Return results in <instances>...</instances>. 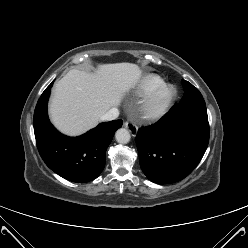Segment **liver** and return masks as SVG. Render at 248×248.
Segmentation results:
<instances>
[{"mask_svg":"<svg viewBox=\"0 0 248 248\" xmlns=\"http://www.w3.org/2000/svg\"><path fill=\"white\" fill-rule=\"evenodd\" d=\"M141 74L132 63L102 64L95 74L70 70L55 84L49 105L51 121L67 135L86 132L109 109L120 105Z\"/></svg>","mask_w":248,"mask_h":248,"instance_id":"1","label":"liver"}]
</instances>
